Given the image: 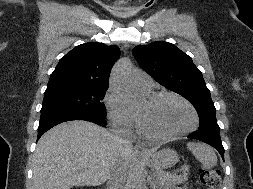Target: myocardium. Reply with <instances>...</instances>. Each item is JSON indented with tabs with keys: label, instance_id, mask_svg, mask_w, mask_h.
I'll use <instances>...</instances> for the list:
<instances>
[{
	"label": "myocardium",
	"instance_id": "obj_1",
	"mask_svg": "<svg viewBox=\"0 0 253 189\" xmlns=\"http://www.w3.org/2000/svg\"><path fill=\"white\" fill-rule=\"evenodd\" d=\"M164 97L174 98V99L180 101L181 103H183L185 106H187V108L190 110V112L192 114V118H193L191 125L189 127H187L186 129H184L182 131H179L175 134L167 135V136H159V135H155V134H152V133H149L148 131H146L142 127V125L140 123V120L137 116L138 131L142 135H144L145 137H147L149 139H152V140H155V141H160V142L175 140V139L181 138V137H183L185 135H188L189 133L193 132L199 125V116H198L197 111L193 107V105L188 100H186L184 97H182L179 94L174 93V92L161 91V92H156V93L151 94L147 98V102L149 104H152V103H155L156 101H158L159 99L164 98Z\"/></svg>",
	"mask_w": 253,
	"mask_h": 189
}]
</instances>
